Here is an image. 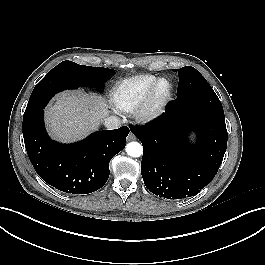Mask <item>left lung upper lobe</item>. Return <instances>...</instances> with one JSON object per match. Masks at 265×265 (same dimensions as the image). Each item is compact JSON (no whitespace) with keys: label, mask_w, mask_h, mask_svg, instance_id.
<instances>
[{"label":"left lung upper lobe","mask_w":265,"mask_h":265,"mask_svg":"<svg viewBox=\"0 0 265 265\" xmlns=\"http://www.w3.org/2000/svg\"><path fill=\"white\" fill-rule=\"evenodd\" d=\"M178 76L177 99L174 101L176 110L204 112L225 118L220 100L195 68L191 66L180 68Z\"/></svg>","instance_id":"left-lung-upper-lobe-1"}]
</instances>
